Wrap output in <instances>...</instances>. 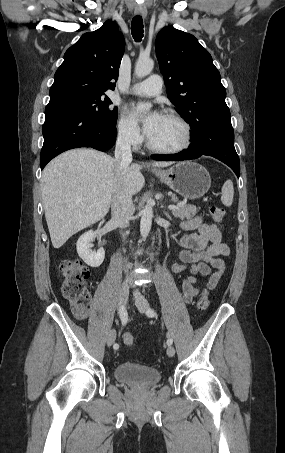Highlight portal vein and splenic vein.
<instances>
[{"label":"portal vein and splenic vein","mask_w":285,"mask_h":453,"mask_svg":"<svg viewBox=\"0 0 285 453\" xmlns=\"http://www.w3.org/2000/svg\"><path fill=\"white\" fill-rule=\"evenodd\" d=\"M168 208H169L170 210H175V209H177L178 207H177L176 205H169Z\"/></svg>","instance_id":"1"}]
</instances>
